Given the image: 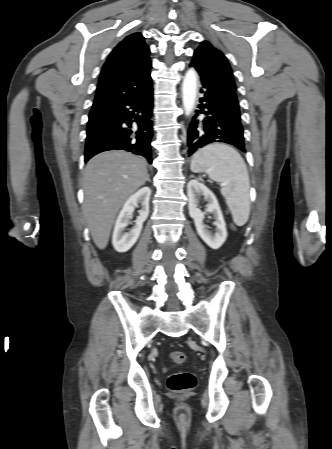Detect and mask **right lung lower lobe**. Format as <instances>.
<instances>
[{
  "mask_svg": "<svg viewBox=\"0 0 332 449\" xmlns=\"http://www.w3.org/2000/svg\"><path fill=\"white\" fill-rule=\"evenodd\" d=\"M153 89L116 103L93 106L87 125L85 162L108 150H126L152 163Z\"/></svg>",
  "mask_w": 332,
  "mask_h": 449,
  "instance_id": "98d812e1",
  "label": "right lung lower lobe"
}]
</instances>
